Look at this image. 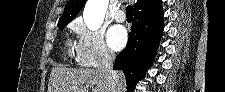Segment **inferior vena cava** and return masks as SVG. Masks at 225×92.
Segmentation results:
<instances>
[{"instance_id": "inferior-vena-cava-1", "label": "inferior vena cava", "mask_w": 225, "mask_h": 92, "mask_svg": "<svg viewBox=\"0 0 225 92\" xmlns=\"http://www.w3.org/2000/svg\"><path fill=\"white\" fill-rule=\"evenodd\" d=\"M114 55L109 50H103L101 55V63L99 70L106 73L109 76L110 83L112 85V92H118L117 86V72L113 70Z\"/></svg>"}]
</instances>
